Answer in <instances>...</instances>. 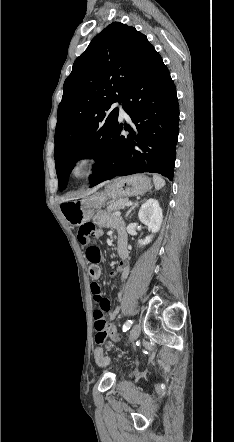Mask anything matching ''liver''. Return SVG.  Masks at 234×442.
Returning <instances> with one entry per match:
<instances>
[{
  "label": "liver",
  "mask_w": 234,
  "mask_h": 442,
  "mask_svg": "<svg viewBox=\"0 0 234 442\" xmlns=\"http://www.w3.org/2000/svg\"><path fill=\"white\" fill-rule=\"evenodd\" d=\"M106 183H107V182H103V183L99 184L98 186H96V187H94L93 189L89 190V191L87 192V194H91V193L97 191L100 187L104 186Z\"/></svg>",
  "instance_id": "1"
}]
</instances>
